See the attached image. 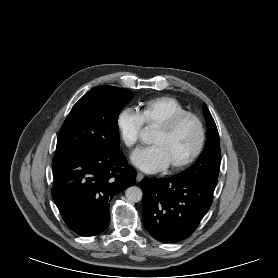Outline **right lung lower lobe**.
<instances>
[{"label": "right lung lower lobe", "mask_w": 278, "mask_h": 278, "mask_svg": "<svg viewBox=\"0 0 278 278\" xmlns=\"http://www.w3.org/2000/svg\"><path fill=\"white\" fill-rule=\"evenodd\" d=\"M126 163L120 149L53 159L52 197L72 231L94 236L107 228L109 202L135 182L137 173Z\"/></svg>", "instance_id": "obj_1"}]
</instances>
